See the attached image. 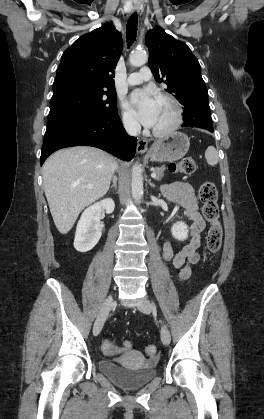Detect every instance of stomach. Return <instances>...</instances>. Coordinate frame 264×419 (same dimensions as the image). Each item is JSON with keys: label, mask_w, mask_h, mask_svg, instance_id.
Masks as SVG:
<instances>
[{"label": "stomach", "mask_w": 264, "mask_h": 419, "mask_svg": "<svg viewBox=\"0 0 264 419\" xmlns=\"http://www.w3.org/2000/svg\"><path fill=\"white\" fill-rule=\"evenodd\" d=\"M190 140L181 132H173L156 141L149 150L151 161L171 162L181 159L188 152Z\"/></svg>", "instance_id": "0dacf381"}]
</instances>
